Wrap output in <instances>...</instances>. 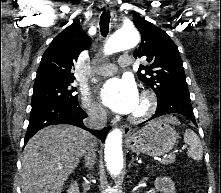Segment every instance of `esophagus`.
<instances>
[{"instance_id": "1", "label": "esophagus", "mask_w": 221, "mask_h": 193, "mask_svg": "<svg viewBox=\"0 0 221 193\" xmlns=\"http://www.w3.org/2000/svg\"><path fill=\"white\" fill-rule=\"evenodd\" d=\"M112 8V3H105V9L110 10ZM122 131L124 133H129L131 131V128L129 126H123Z\"/></svg>"}]
</instances>
